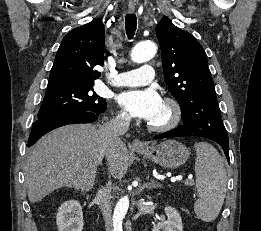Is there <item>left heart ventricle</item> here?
<instances>
[{
  "instance_id": "1",
  "label": "left heart ventricle",
  "mask_w": 261,
  "mask_h": 231,
  "mask_svg": "<svg viewBox=\"0 0 261 231\" xmlns=\"http://www.w3.org/2000/svg\"><path fill=\"white\" fill-rule=\"evenodd\" d=\"M170 117V111L166 104L162 102V105L157 112V114L153 117V119L150 121V123L153 124H162L166 122Z\"/></svg>"
}]
</instances>
